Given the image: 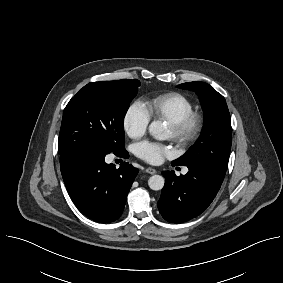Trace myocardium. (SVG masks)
I'll use <instances>...</instances> for the list:
<instances>
[{"label": "myocardium", "instance_id": "myocardium-1", "mask_svg": "<svg viewBox=\"0 0 283 283\" xmlns=\"http://www.w3.org/2000/svg\"><path fill=\"white\" fill-rule=\"evenodd\" d=\"M202 127L203 119L200 114L194 111L176 122L169 123L172 139L182 146L195 142L201 134Z\"/></svg>", "mask_w": 283, "mask_h": 283}]
</instances>
